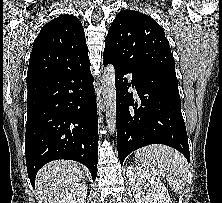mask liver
<instances>
[{"mask_svg":"<svg viewBox=\"0 0 222 203\" xmlns=\"http://www.w3.org/2000/svg\"><path fill=\"white\" fill-rule=\"evenodd\" d=\"M82 165L70 160H55L39 170L35 187L38 203H58L62 195L83 177Z\"/></svg>","mask_w":222,"mask_h":203,"instance_id":"6515ba94","label":"liver"}]
</instances>
